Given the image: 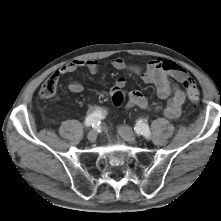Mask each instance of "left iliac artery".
<instances>
[{
  "label": "left iliac artery",
  "instance_id": "obj_1",
  "mask_svg": "<svg viewBox=\"0 0 221 221\" xmlns=\"http://www.w3.org/2000/svg\"><path fill=\"white\" fill-rule=\"evenodd\" d=\"M135 132L138 135H143L146 139L150 138L151 132L149 129V126L145 123H142L141 121H138L136 126L134 127Z\"/></svg>",
  "mask_w": 221,
  "mask_h": 221
}]
</instances>
